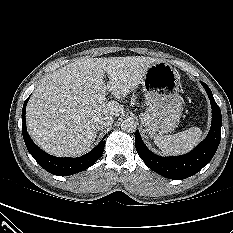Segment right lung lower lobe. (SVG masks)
Wrapping results in <instances>:
<instances>
[{
	"label": "right lung lower lobe",
	"mask_w": 233,
	"mask_h": 233,
	"mask_svg": "<svg viewBox=\"0 0 233 233\" xmlns=\"http://www.w3.org/2000/svg\"><path fill=\"white\" fill-rule=\"evenodd\" d=\"M29 99V98H28ZM28 99L24 102L22 110V134L29 153L36 162L51 174L58 176H68L84 171L92 166L102 155L105 141L102 140L89 153L77 158H60L47 154L41 150L30 138L26 129L25 112ZM105 138V137H104ZM103 138V139H104Z\"/></svg>",
	"instance_id": "1"
}]
</instances>
